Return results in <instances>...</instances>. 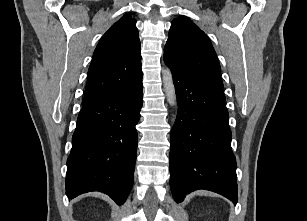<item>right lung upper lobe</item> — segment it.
Returning a JSON list of instances; mask_svg holds the SVG:
<instances>
[{
  "label": "right lung upper lobe",
  "mask_w": 307,
  "mask_h": 221,
  "mask_svg": "<svg viewBox=\"0 0 307 221\" xmlns=\"http://www.w3.org/2000/svg\"><path fill=\"white\" fill-rule=\"evenodd\" d=\"M136 20L124 15L102 36L88 70L82 105L125 91L142 80Z\"/></svg>",
  "instance_id": "obj_1"
}]
</instances>
